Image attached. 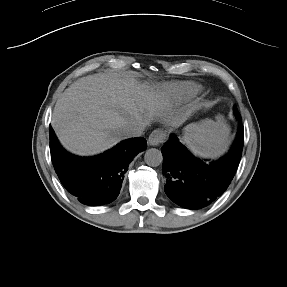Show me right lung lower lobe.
<instances>
[{"instance_id":"1","label":"right lung lower lobe","mask_w":287,"mask_h":287,"mask_svg":"<svg viewBox=\"0 0 287 287\" xmlns=\"http://www.w3.org/2000/svg\"><path fill=\"white\" fill-rule=\"evenodd\" d=\"M50 151L61 183L81 203L91 206L108 204L120 193L128 165L147 148L146 139L125 140L98 156L85 158L66 152L50 129Z\"/></svg>"}]
</instances>
